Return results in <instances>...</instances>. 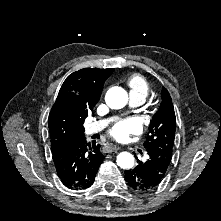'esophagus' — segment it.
<instances>
[{
    "mask_svg": "<svg viewBox=\"0 0 221 221\" xmlns=\"http://www.w3.org/2000/svg\"><path fill=\"white\" fill-rule=\"evenodd\" d=\"M105 149L107 152H115V151H118L120 150V147L117 146V145H111V144H108L107 146H105Z\"/></svg>",
    "mask_w": 221,
    "mask_h": 221,
    "instance_id": "34e87169",
    "label": "esophagus"
}]
</instances>
